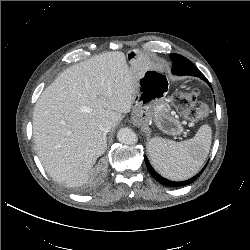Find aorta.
<instances>
[{"label":"aorta","mask_w":250,"mask_h":250,"mask_svg":"<svg viewBox=\"0 0 250 250\" xmlns=\"http://www.w3.org/2000/svg\"><path fill=\"white\" fill-rule=\"evenodd\" d=\"M117 138L119 142L126 145H133L137 143V135L130 128H121L117 133Z\"/></svg>","instance_id":"aorta-1"}]
</instances>
